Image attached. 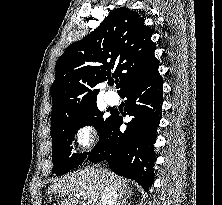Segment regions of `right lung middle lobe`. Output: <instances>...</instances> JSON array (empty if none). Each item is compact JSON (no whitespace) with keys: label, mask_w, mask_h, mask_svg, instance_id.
<instances>
[{"label":"right lung middle lobe","mask_w":222,"mask_h":205,"mask_svg":"<svg viewBox=\"0 0 222 205\" xmlns=\"http://www.w3.org/2000/svg\"><path fill=\"white\" fill-rule=\"evenodd\" d=\"M103 113L99 111L97 105L89 106L69 117L51 123V138L53 143V171L56 175H62L69 170L76 168L84 162L87 153H74L70 157L75 133L83 126L93 125L98 133L102 135L112 122L114 114L108 118H103Z\"/></svg>","instance_id":"1"}]
</instances>
